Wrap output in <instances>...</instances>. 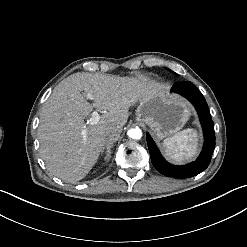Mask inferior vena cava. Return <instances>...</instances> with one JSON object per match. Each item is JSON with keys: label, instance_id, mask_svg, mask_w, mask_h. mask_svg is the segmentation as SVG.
Returning a JSON list of instances; mask_svg holds the SVG:
<instances>
[{"label": "inferior vena cava", "instance_id": "inferior-vena-cava-1", "mask_svg": "<svg viewBox=\"0 0 247 247\" xmlns=\"http://www.w3.org/2000/svg\"><path fill=\"white\" fill-rule=\"evenodd\" d=\"M123 127L120 125H109L105 128V134L108 137V141H117L122 133Z\"/></svg>", "mask_w": 247, "mask_h": 247}]
</instances>
